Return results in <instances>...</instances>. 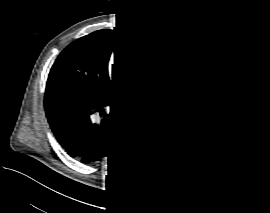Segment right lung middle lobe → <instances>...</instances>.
<instances>
[{"instance_id": "right-lung-middle-lobe-1", "label": "right lung middle lobe", "mask_w": 270, "mask_h": 213, "mask_svg": "<svg viewBox=\"0 0 270 213\" xmlns=\"http://www.w3.org/2000/svg\"><path fill=\"white\" fill-rule=\"evenodd\" d=\"M127 36L119 30L104 29L77 39L68 45L53 64L46 92L83 90L108 95L115 90L108 75L112 51Z\"/></svg>"}]
</instances>
